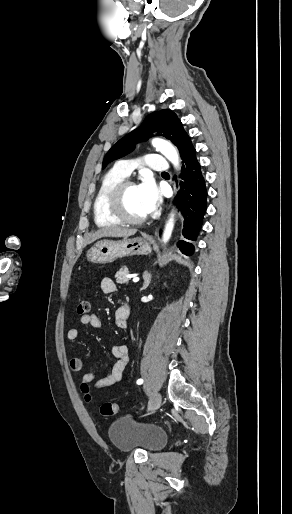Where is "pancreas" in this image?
I'll list each match as a JSON object with an SVG mask.
<instances>
[{
  "mask_svg": "<svg viewBox=\"0 0 292 514\" xmlns=\"http://www.w3.org/2000/svg\"><path fill=\"white\" fill-rule=\"evenodd\" d=\"M127 274H129L128 268H120L119 272L115 274L117 284H129V278H126Z\"/></svg>",
  "mask_w": 292,
  "mask_h": 514,
  "instance_id": "cf45deb5",
  "label": "pancreas"
}]
</instances>
